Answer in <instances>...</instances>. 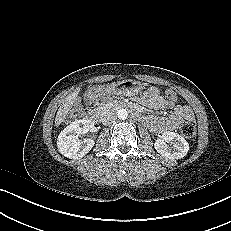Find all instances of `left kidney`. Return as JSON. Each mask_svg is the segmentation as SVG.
<instances>
[{
  "mask_svg": "<svg viewBox=\"0 0 231 231\" xmlns=\"http://www.w3.org/2000/svg\"><path fill=\"white\" fill-rule=\"evenodd\" d=\"M156 151L166 159H181L189 151L188 142L175 132L166 131L155 141Z\"/></svg>",
  "mask_w": 231,
  "mask_h": 231,
  "instance_id": "obj_1",
  "label": "left kidney"
}]
</instances>
